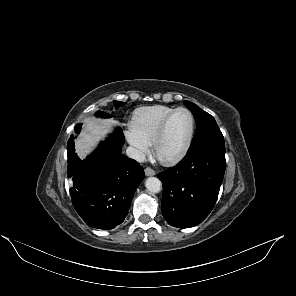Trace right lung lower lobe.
<instances>
[{"instance_id":"1","label":"right lung lower lobe","mask_w":296,"mask_h":296,"mask_svg":"<svg viewBox=\"0 0 296 296\" xmlns=\"http://www.w3.org/2000/svg\"><path fill=\"white\" fill-rule=\"evenodd\" d=\"M81 126V123L75 126L76 133ZM124 141L118 128L92 155L80 160L75 153L74 136L68 140L67 173L73 181L72 203L85 223L93 228L108 230L121 224L144 178L139 163L121 153Z\"/></svg>"}]
</instances>
